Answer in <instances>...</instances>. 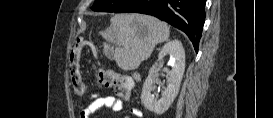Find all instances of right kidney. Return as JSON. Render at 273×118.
I'll return each mask as SVG.
<instances>
[{
	"label": "right kidney",
	"instance_id": "obj_1",
	"mask_svg": "<svg viewBox=\"0 0 273 118\" xmlns=\"http://www.w3.org/2000/svg\"><path fill=\"white\" fill-rule=\"evenodd\" d=\"M166 55H170L172 70L168 72V85L162 92L161 98L152 94L158 61H162ZM185 70V51L178 40L168 41L161 49L158 60L149 71L141 94V101L146 109L156 114L164 113L176 98Z\"/></svg>",
	"mask_w": 273,
	"mask_h": 118
}]
</instances>
